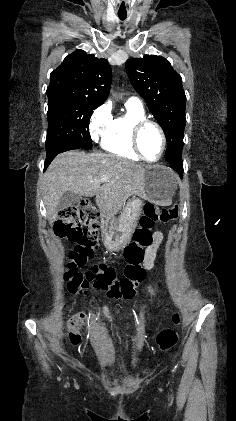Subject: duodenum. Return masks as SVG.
Masks as SVG:
<instances>
[{"mask_svg": "<svg viewBox=\"0 0 236 421\" xmlns=\"http://www.w3.org/2000/svg\"><path fill=\"white\" fill-rule=\"evenodd\" d=\"M81 208L83 209V211L87 212V213H94L95 208L93 207V205L89 202H83L81 205Z\"/></svg>", "mask_w": 236, "mask_h": 421, "instance_id": "duodenum-1", "label": "duodenum"}]
</instances>
